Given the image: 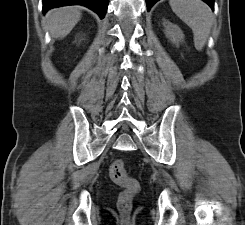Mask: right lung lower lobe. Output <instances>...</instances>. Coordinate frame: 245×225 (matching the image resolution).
<instances>
[{
    "instance_id": "1",
    "label": "right lung lower lobe",
    "mask_w": 245,
    "mask_h": 225,
    "mask_svg": "<svg viewBox=\"0 0 245 225\" xmlns=\"http://www.w3.org/2000/svg\"><path fill=\"white\" fill-rule=\"evenodd\" d=\"M108 3L109 0H43V11L66 5H83L98 13L102 19L106 14Z\"/></svg>"
}]
</instances>
